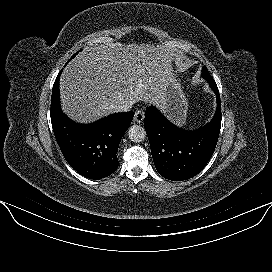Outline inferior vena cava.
<instances>
[{"instance_id":"602c4592","label":"inferior vena cava","mask_w":272,"mask_h":272,"mask_svg":"<svg viewBox=\"0 0 272 272\" xmlns=\"http://www.w3.org/2000/svg\"><path fill=\"white\" fill-rule=\"evenodd\" d=\"M133 103L131 101H123L118 105L112 107L114 112H128L132 108Z\"/></svg>"}]
</instances>
